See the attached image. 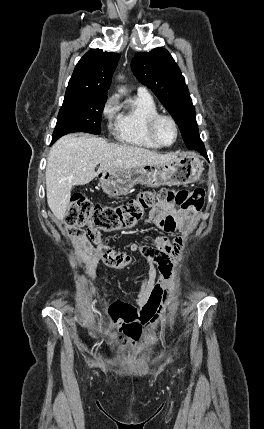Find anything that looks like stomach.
<instances>
[{"label": "stomach", "instance_id": "stomach-1", "mask_svg": "<svg viewBox=\"0 0 264 429\" xmlns=\"http://www.w3.org/2000/svg\"><path fill=\"white\" fill-rule=\"evenodd\" d=\"M202 171L203 161L194 153H186L164 164L105 170L99 172L98 177L104 193L119 197L138 183L149 186L191 184L199 180Z\"/></svg>", "mask_w": 264, "mask_h": 429}]
</instances>
